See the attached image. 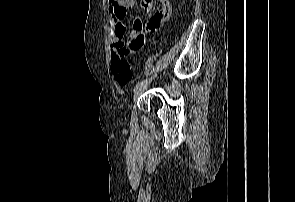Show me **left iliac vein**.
<instances>
[{
    "mask_svg": "<svg viewBox=\"0 0 295 202\" xmlns=\"http://www.w3.org/2000/svg\"><path fill=\"white\" fill-rule=\"evenodd\" d=\"M148 82L138 86L137 88H135L134 90V95H133V99L136 100L148 87Z\"/></svg>",
    "mask_w": 295,
    "mask_h": 202,
    "instance_id": "1",
    "label": "left iliac vein"
}]
</instances>
